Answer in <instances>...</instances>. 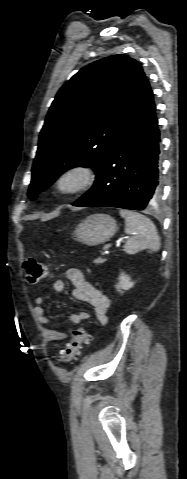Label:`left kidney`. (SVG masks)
Instances as JSON below:
<instances>
[{
    "label": "left kidney",
    "mask_w": 187,
    "mask_h": 479,
    "mask_svg": "<svg viewBox=\"0 0 187 479\" xmlns=\"http://www.w3.org/2000/svg\"><path fill=\"white\" fill-rule=\"evenodd\" d=\"M133 286H134V282L131 281V278L128 275L122 273L119 276V283L116 286L119 292H121V290H129Z\"/></svg>",
    "instance_id": "left-kidney-1"
}]
</instances>
